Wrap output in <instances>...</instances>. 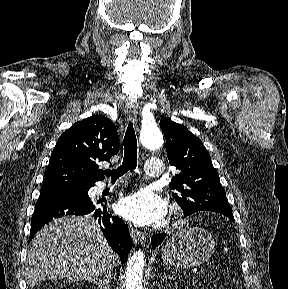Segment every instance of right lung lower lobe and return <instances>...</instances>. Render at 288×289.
<instances>
[{"instance_id":"1","label":"right lung lower lobe","mask_w":288,"mask_h":289,"mask_svg":"<svg viewBox=\"0 0 288 289\" xmlns=\"http://www.w3.org/2000/svg\"><path fill=\"white\" fill-rule=\"evenodd\" d=\"M97 208L93 203H82L73 200H46L36 203L31 220L29 240L42 226L54 218L64 215H86L92 213L94 218H99L101 230L111 248L119 255L121 263H125L128 252L132 248V240L127 226L119 217L112 216L106 210Z\"/></svg>"}]
</instances>
